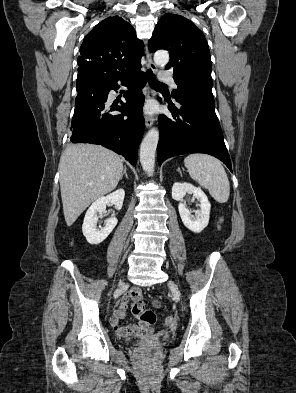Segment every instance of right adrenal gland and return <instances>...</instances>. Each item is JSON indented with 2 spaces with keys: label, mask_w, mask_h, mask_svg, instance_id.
<instances>
[{
  "label": "right adrenal gland",
  "mask_w": 296,
  "mask_h": 393,
  "mask_svg": "<svg viewBox=\"0 0 296 393\" xmlns=\"http://www.w3.org/2000/svg\"><path fill=\"white\" fill-rule=\"evenodd\" d=\"M123 175H125V177L128 178L126 166H124V172H123V174L121 175V179L123 178Z\"/></svg>",
  "instance_id": "1"
}]
</instances>
